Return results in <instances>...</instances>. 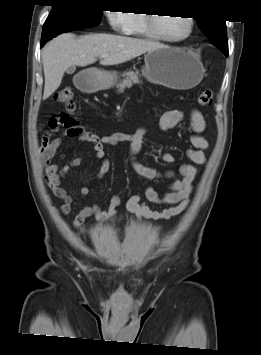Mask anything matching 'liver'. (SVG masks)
I'll return each instance as SVG.
<instances>
[{
  "label": "liver",
  "instance_id": "1",
  "mask_svg": "<svg viewBox=\"0 0 261 355\" xmlns=\"http://www.w3.org/2000/svg\"><path fill=\"white\" fill-rule=\"evenodd\" d=\"M161 47L164 45L159 42L121 35L90 34L77 38L72 33L61 34L42 50L45 78L43 99L58 89L70 66L93 64L104 53L109 55L100 61L101 65H117Z\"/></svg>",
  "mask_w": 261,
  "mask_h": 355
}]
</instances>
